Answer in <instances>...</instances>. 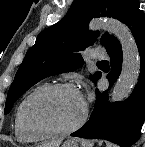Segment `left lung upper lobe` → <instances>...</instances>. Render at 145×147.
<instances>
[{"instance_id":"5c2ea615","label":"left lung upper lobe","mask_w":145,"mask_h":147,"mask_svg":"<svg viewBox=\"0 0 145 147\" xmlns=\"http://www.w3.org/2000/svg\"><path fill=\"white\" fill-rule=\"evenodd\" d=\"M131 0H74L67 15L55 25L37 36L20 65L8 91L5 113H9L15 101L40 80L59 73L74 71L83 64L79 51L91 46L99 32L87 30L95 17H113L121 22ZM105 33L101 43L105 48L114 39ZM100 72L91 76L96 82Z\"/></svg>"}]
</instances>
